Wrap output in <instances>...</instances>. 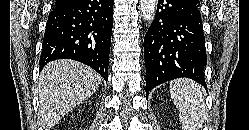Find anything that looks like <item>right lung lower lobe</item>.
Wrapping results in <instances>:
<instances>
[{"label": "right lung lower lobe", "mask_w": 249, "mask_h": 130, "mask_svg": "<svg viewBox=\"0 0 249 130\" xmlns=\"http://www.w3.org/2000/svg\"><path fill=\"white\" fill-rule=\"evenodd\" d=\"M113 0H70L48 17L40 65L73 59L108 80Z\"/></svg>", "instance_id": "right-lung-lower-lobe-1"}]
</instances>
